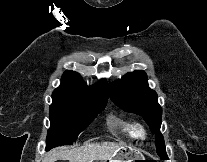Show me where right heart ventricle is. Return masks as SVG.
Segmentation results:
<instances>
[{"instance_id":"right-heart-ventricle-1","label":"right heart ventricle","mask_w":207,"mask_h":162,"mask_svg":"<svg viewBox=\"0 0 207 162\" xmlns=\"http://www.w3.org/2000/svg\"><path fill=\"white\" fill-rule=\"evenodd\" d=\"M113 124L127 136H135V126L131 122L114 119Z\"/></svg>"}]
</instances>
